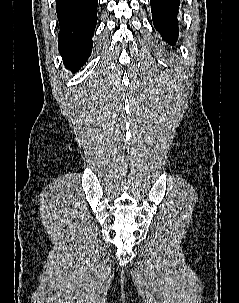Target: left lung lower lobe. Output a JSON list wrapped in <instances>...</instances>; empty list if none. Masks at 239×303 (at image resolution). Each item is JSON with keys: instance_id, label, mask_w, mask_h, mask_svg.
Instances as JSON below:
<instances>
[{"instance_id": "left-lung-lower-lobe-1", "label": "left lung lower lobe", "mask_w": 239, "mask_h": 303, "mask_svg": "<svg viewBox=\"0 0 239 303\" xmlns=\"http://www.w3.org/2000/svg\"><path fill=\"white\" fill-rule=\"evenodd\" d=\"M154 27L162 38L171 45L179 34L177 13L180 0H150Z\"/></svg>"}]
</instances>
